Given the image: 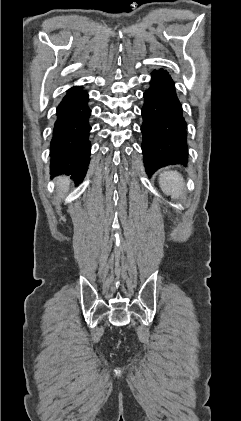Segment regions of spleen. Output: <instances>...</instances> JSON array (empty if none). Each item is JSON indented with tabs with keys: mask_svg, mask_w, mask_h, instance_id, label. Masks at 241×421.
<instances>
[{
	"mask_svg": "<svg viewBox=\"0 0 241 421\" xmlns=\"http://www.w3.org/2000/svg\"><path fill=\"white\" fill-rule=\"evenodd\" d=\"M159 185L163 193L173 199H178L183 194L184 180L176 171H163L159 178Z\"/></svg>",
	"mask_w": 241,
	"mask_h": 421,
	"instance_id": "3e777b00",
	"label": "spleen"
}]
</instances>
